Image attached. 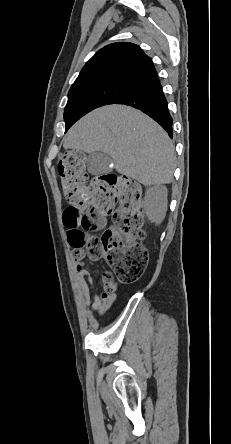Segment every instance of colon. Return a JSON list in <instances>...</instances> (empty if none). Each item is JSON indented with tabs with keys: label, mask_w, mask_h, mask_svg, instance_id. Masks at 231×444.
<instances>
[{
	"label": "colon",
	"mask_w": 231,
	"mask_h": 444,
	"mask_svg": "<svg viewBox=\"0 0 231 444\" xmlns=\"http://www.w3.org/2000/svg\"><path fill=\"white\" fill-rule=\"evenodd\" d=\"M58 172L69 203L63 214L65 227L85 234L82 244L90 261L104 257L111 267L102 276L104 292L112 294L118 283L140 279L148 264V253L139 242L144 236L139 183L111 173L88 180L85 156L78 151L60 155ZM111 214V229L100 237L86 235L102 229Z\"/></svg>",
	"instance_id": "1"
}]
</instances>
